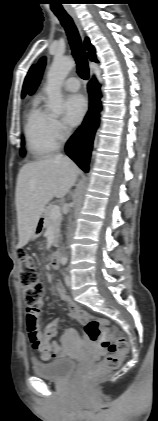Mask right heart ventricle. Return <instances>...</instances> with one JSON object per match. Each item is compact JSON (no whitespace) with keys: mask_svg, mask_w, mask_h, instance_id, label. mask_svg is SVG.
Masks as SVG:
<instances>
[{"mask_svg":"<svg viewBox=\"0 0 158 421\" xmlns=\"http://www.w3.org/2000/svg\"><path fill=\"white\" fill-rule=\"evenodd\" d=\"M51 115L35 100L29 109L25 122V137L28 150L36 158L53 153L58 147L52 128Z\"/></svg>","mask_w":158,"mask_h":421,"instance_id":"right-heart-ventricle-1","label":"right heart ventricle"}]
</instances>
